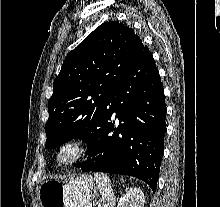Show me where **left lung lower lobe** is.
Returning a JSON list of instances; mask_svg holds the SVG:
<instances>
[{
    "instance_id": "0a47b994",
    "label": "left lung lower lobe",
    "mask_w": 220,
    "mask_h": 207,
    "mask_svg": "<svg viewBox=\"0 0 220 207\" xmlns=\"http://www.w3.org/2000/svg\"><path fill=\"white\" fill-rule=\"evenodd\" d=\"M116 112L117 121H110ZM164 90L153 56L143 43L110 97L88 143V160L76 167L137 177L153 192L166 131Z\"/></svg>"
}]
</instances>
